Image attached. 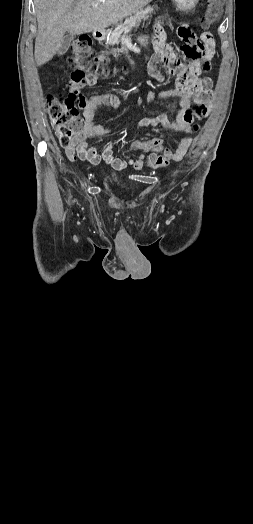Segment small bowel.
<instances>
[{
  "instance_id": "obj_1",
  "label": "small bowel",
  "mask_w": 253,
  "mask_h": 524,
  "mask_svg": "<svg viewBox=\"0 0 253 524\" xmlns=\"http://www.w3.org/2000/svg\"><path fill=\"white\" fill-rule=\"evenodd\" d=\"M203 35L198 34L196 29H192L190 24H181L176 32V37L181 46L180 54L184 57L188 65L179 63L180 59L176 56V51L166 42V34L163 27L158 24L154 34L155 54L147 64L146 74L156 83L163 81L165 74L176 77V88L163 90L158 94L149 92L146 101H152L156 95L161 98H176L179 102L180 110L175 120H171L167 113L159 114L153 118H143L139 122L142 128L161 125L166 129H172L188 133L190 124L193 120L190 107L192 104H203L211 98V80L204 75L210 68V58L216 46L213 42L214 37L210 29L205 28ZM105 105L119 107L121 100L113 94H101L90 98L84 110V127L77 134L76 142L65 149L67 157L75 161L77 158L90 164L97 165L101 161L106 162L115 170H122L130 166L136 170L142 168L147 154H157L164 149V141L161 137H156L148 141L135 140L130 143L129 150L137 155L133 159L129 154L122 158L114 157V143L108 142L101 155H98L94 147L89 146L87 140L100 138L104 140L109 130L96 122V117L101 108ZM189 142L183 139L178 150L185 154Z\"/></svg>"
}]
</instances>
